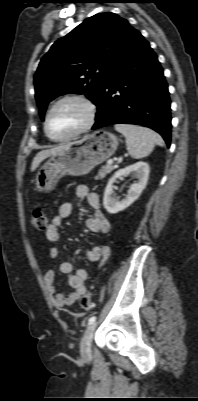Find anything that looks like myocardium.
Listing matches in <instances>:
<instances>
[{"label": "myocardium", "instance_id": "f54148a6", "mask_svg": "<svg viewBox=\"0 0 198 401\" xmlns=\"http://www.w3.org/2000/svg\"><path fill=\"white\" fill-rule=\"evenodd\" d=\"M67 101L79 102L86 108L87 113H88L86 123L79 130H77L76 132H74L68 136L60 137V138L53 137L49 131L50 115L59 104L67 102ZM96 117H97V106L89 97L82 95V94L67 95V96L61 97L58 100H56L51 105V107L48 109L46 116H45V122H44L45 133H46L47 137L50 138L52 141L66 142V141L72 140L76 137H79L80 135L89 131L95 124Z\"/></svg>", "mask_w": 198, "mask_h": 401}]
</instances>
